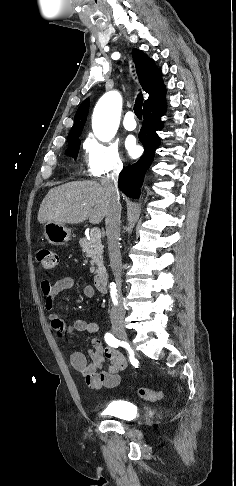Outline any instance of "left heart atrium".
<instances>
[{
    "instance_id": "1",
    "label": "left heart atrium",
    "mask_w": 236,
    "mask_h": 486,
    "mask_svg": "<svg viewBox=\"0 0 236 486\" xmlns=\"http://www.w3.org/2000/svg\"><path fill=\"white\" fill-rule=\"evenodd\" d=\"M127 150H128V153L132 156V157H136L138 154H139V147L136 145L135 141L131 140L127 143Z\"/></svg>"
}]
</instances>
